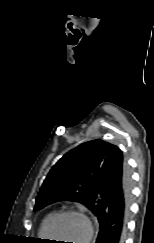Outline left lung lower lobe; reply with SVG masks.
Returning <instances> with one entry per match:
<instances>
[{"mask_svg":"<svg viewBox=\"0 0 154 243\" xmlns=\"http://www.w3.org/2000/svg\"><path fill=\"white\" fill-rule=\"evenodd\" d=\"M99 222L96 243H124L131 201V175L122 152L107 154L93 188Z\"/></svg>","mask_w":154,"mask_h":243,"instance_id":"left-lung-lower-lobe-1","label":"left lung lower lobe"}]
</instances>
